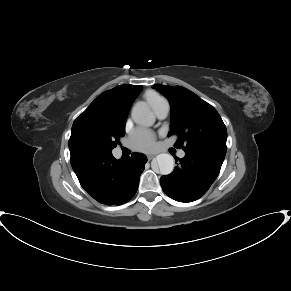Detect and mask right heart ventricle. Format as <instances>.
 <instances>
[{"instance_id": "obj_1", "label": "right heart ventricle", "mask_w": 291, "mask_h": 291, "mask_svg": "<svg viewBox=\"0 0 291 291\" xmlns=\"http://www.w3.org/2000/svg\"><path fill=\"white\" fill-rule=\"evenodd\" d=\"M145 99L149 106L155 111L156 107L160 104L162 100H165L162 96L154 91H147L145 93Z\"/></svg>"}]
</instances>
